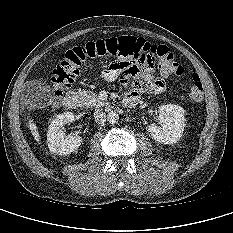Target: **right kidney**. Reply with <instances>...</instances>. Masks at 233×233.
<instances>
[{
  "label": "right kidney",
  "mask_w": 233,
  "mask_h": 233,
  "mask_svg": "<svg viewBox=\"0 0 233 233\" xmlns=\"http://www.w3.org/2000/svg\"><path fill=\"white\" fill-rule=\"evenodd\" d=\"M74 120L72 112L59 114L49 125L47 131L48 148L58 155H68L76 151L83 143L82 137L78 134L65 136L63 131L65 124Z\"/></svg>",
  "instance_id": "1"
}]
</instances>
